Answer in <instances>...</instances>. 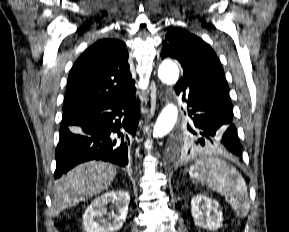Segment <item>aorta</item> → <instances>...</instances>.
Segmentation results:
<instances>
[{"mask_svg": "<svg viewBox=\"0 0 289 232\" xmlns=\"http://www.w3.org/2000/svg\"><path fill=\"white\" fill-rule=\"evenodd\" d=\"M158 77L165 84H175L179 78L178 66L171 61H164L159 66ZM177 117V106L172 103L167 104L157 118L153 129V137L161 138L168 134L175 126Z\"/></svg>", "mask_w": 289, "mask_h": 232, "instance_id": "obj_1", "label": "aorta"}]
</instances>
